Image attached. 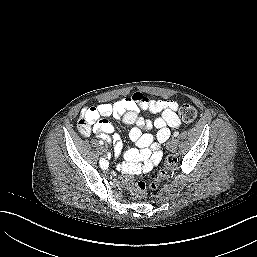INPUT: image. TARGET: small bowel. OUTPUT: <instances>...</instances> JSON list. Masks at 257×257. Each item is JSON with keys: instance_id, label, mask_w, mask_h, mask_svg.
I'll use <instances>...</instances> for the list:
<instances>
[{"instance_id": "obj_1", "label": "small bowel", "mask_w": 257, "mask_h": 257, "mask_svg": "<svg viewBox=\"0 0 257 257\" xmlns=\"http://www.w3.org/2000/svg\"><path fill=\"white\" fill-rule=\"evenodd\" d=\"M178 103L171 100H154L137 92L114 103L103 102L82 110L78 123L79 132L83 136L92 133L113 144L115 157L125 156L128 163L121 165V170L129 173H140L151 170L162 158L160 145L170 136L171 128L181 125L177 114ZM141 111L159 114L154 119H145ZM113 117L124 124L131 125L129 138L138 149L124 150L119 135L114 134ZM156 128V136L144 133L143 130Z\"/></svg>"}]
</instances>
